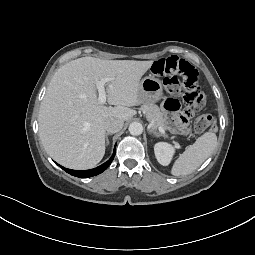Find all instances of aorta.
Segmentation results:
<instances>
[{"mask_svg": "<svg viewBox=\"0 0 255 255\" xmlns=\"http://www.w3.org/2000/svg\"><path fill=\"white\" fill-rule=\"evenodd\" d=\"M129 132L132 135H140L143 132V126L139 122H133L129 125Z\"/></svg>", "mask_w": 255, "mask_h": 255, "instance_id": "obj_1", "label": "aorta"}]
</instances>
